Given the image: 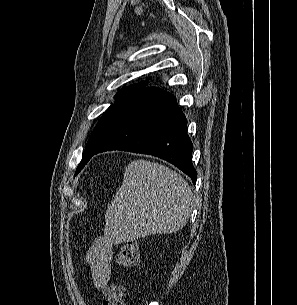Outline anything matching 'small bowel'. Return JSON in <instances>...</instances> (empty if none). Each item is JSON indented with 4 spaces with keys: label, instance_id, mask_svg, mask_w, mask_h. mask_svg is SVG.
Listing matches in <instances>:
<instances>
[{
    "label": "small bowel",
    "instance_id": "c3829d8e",
    "mask_svg": "<svg viewBox=\"0 0 297 305\" xmlns=\"http://www.w3.org/2000/svg\"><path fill=\"white\" fill-rule=\"evenodd\" d=\"M115 245V237L104 233L94 240L86 252V264L92 281L99 291L103 290L111 279V260Z\"/></svg>",
    "mask_w": 297,
    "mask_h": 305
}]
</instances>
